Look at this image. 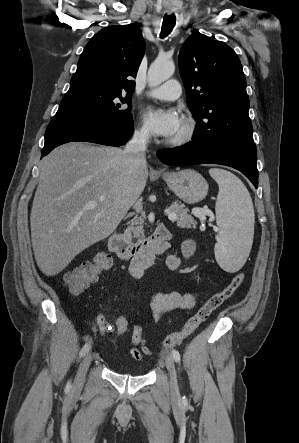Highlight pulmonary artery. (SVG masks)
<instances>
[{
  "label": "pulmonary artery",
  "instance_id": "e3ab8cb5",
  "mask_svg": "<svg viewBox=\"0 0 299 443\" xmlns=\"http://www.w3.org/2000/svg\"><path fill=\"white\" fill-rule=\"evenodd\" d=\"M146 94L160 100H175L181 95V86L177 80L170 79L161 86L147 91Z\"/></svg>",
  "mask_w": 299,
  "mask_h": 443
}]
</instances>
